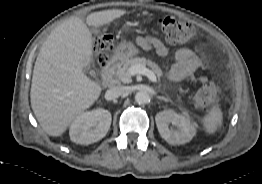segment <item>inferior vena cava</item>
Returning <instances> with one entry per match:
<instances>
[{
    "instance_id": "602c4592",
    "label": "inferior vena cava",
    "mask_w": 262,
    "mask_h": 184,
    "mask_svg": "<svg viewBox=\"0 0 262 184\" xmlns=\"http://www.w3.org/2000/svg\"><path fill=\"white\" fill-rule=\"evenodd\" d=\"M127 93V88L125 86H115L107 90L105 97L108 100L124 96Z\"/></svg>"
}]
</instances>
